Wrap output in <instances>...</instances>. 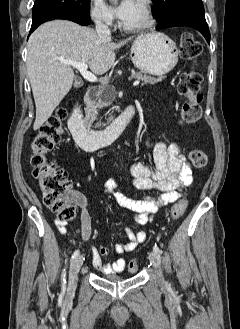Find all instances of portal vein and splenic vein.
<instances>
[{"instance_id":"portal-vein-and-splenic-vein-1","label":"portal vein and splenic vein","mask_w":240,"mask_h":329,"mask_svg":"<svg viewBox=\"0 0 240 329\" xmlns=\"http://www.w3.org/2000/svg\"><path fill=\"white\" fill-rule=\"evenodd\" d=\"M60 61L62 63L75 67L80 72L82 77L84 79H86L87 81H89V82L97 81V77L93 73L88 71V65L86 63H81V62L71 61V60H63V59H61ZM139 83L140 82L137 80L133 83V86H137V85H139Z\"/></svg>"}]
</instances>
